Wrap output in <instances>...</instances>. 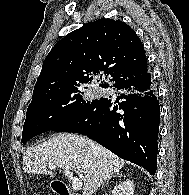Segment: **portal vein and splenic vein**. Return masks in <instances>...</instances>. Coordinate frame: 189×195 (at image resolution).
<instances>
[{"instance_id": "portal-vein-and-splenic-vein-1", "label": "portal vein and splenic vein", "mask_w": 189, "mask_h": 195, "mask_svg": "<svg viewBox=\"0 0 189 195\" xmlns=\"http://www.w3.org/2000/svg\"><path fill=\"white\" fill-rule=\"evenodd\" d=\"M57 166L56 165H49V169L53 170L55 169ZM65 175L72 180V188L74 190H80L82 187V180H80L79 178L73 177V173L70 170L65 169L64 170Z\"/></svg>"}]
</instances>
